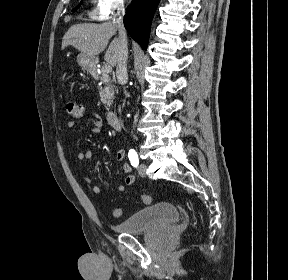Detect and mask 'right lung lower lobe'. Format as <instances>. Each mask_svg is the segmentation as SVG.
<instances>
[{
    "instance_id": "1",
    "label": "right lung lower lobe",
    "mask_w": 288,
    "mask_h": 280,
    "mask_svg": "<svg viewBox=\"0 0 288 280\" xmlns=\"http://www.w3.org/2000/svg\"><path fill=\"white\" fill-rule=\"evenodd\" d=\"M160 0H136L127 7L124 26L130 36L146 50L153 15Z\"/></svg>"
}]
</instances>
